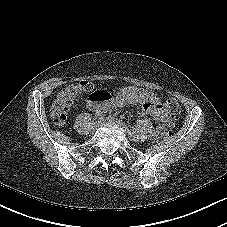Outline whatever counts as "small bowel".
Instances as JSON below:
<instances>
[{
    "mask_svg": "<svg viewBox=\"0 0 227 227\" xmlns=\"http://www.w3.org/2000/svg\"><path fill=\"white\" fill-rule=\"evenodd\" d=\"M93 103H100V100L92 98L90 101L91 108L96 112L97 110L93 107ZM115 103L119 106L126 104H141L143 111L150 114L161 124H172V121L168 119L167 115L163 111L157 95L148 90L136 87L124 88L117 94ZM102 109H104V106ZM98 112H101V110H98Z\"/></svg>",
    "mask_w": 227,
    "mask_h": 227,
    "instance_id": "small-bowel-1",
    "label": "small bowel"
}]
</instances>
